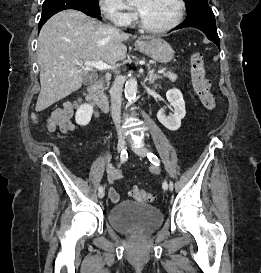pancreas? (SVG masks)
I'll return each mask as SVG.
<instances>
[{
	"instance_id": "pancreas-1",
	"label": "pancreas",
	"mask_w": 261,
	"mask_h": 273,
	"mask_svg": "<svg viewBox=\"0 0 261 273\" xmlns=\"http://www.w3.org/2000/svg\"><path fill=\"white\" fill-rule=\"evenodd\" d=\"M163 74L165 77H167L172 82H175L178 79V75L173 74L170 71L164 72Z\"/></svg>"
}]
</instances>
